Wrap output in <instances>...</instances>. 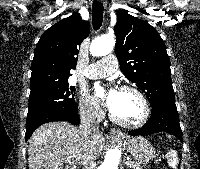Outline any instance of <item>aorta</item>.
Listing matches in <instances>:
<instances>
[{
	"label": "aorta",
	"instance_id": "762f6f07",
	"mask_svg": "<svg viewBox=\"0 0 200 169\" xmlns=\"http://www.w3.org/2000/svg\"><path fill=\"white\" fill-rule=\"evenodd\" d=\"M115 45L113 34H106L95 38L90 46L92 56H103L110 53ZM121 157V152L117 149H110L106 152L104 161L98 169H117Z\"/></svg>",
	"mask_w": 200,
	"mask_h": 169
}]
</instances>
